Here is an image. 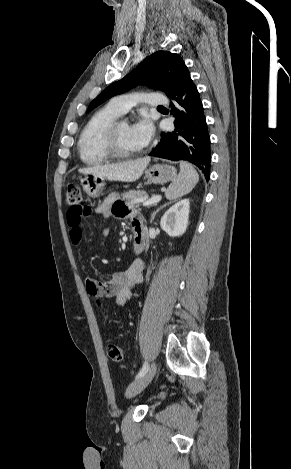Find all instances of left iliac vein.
<instances>
[{
  "instance_id": "1",
  "label": "left iliac vein",
  "mask_w": 291,
  "mask_h": 469,
  "mask_svg": "<svg viewBox=\"0 0 291 469\" xmlns=\"http://www.w3.org/2000/svg\"><path fill=\"white\" fill-rule=\"evenodd\" d=\"M156 373V364L153 362L149 366L147 372L139 377L137 380H135L133 383H131L127 390H126V395L128 397H133L137 394H139L141 391H143L148 384L152 381L154 375Z\"/></svg>"
}]
</instances>
